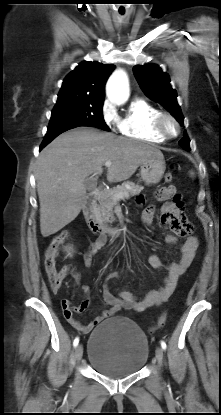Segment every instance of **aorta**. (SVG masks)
Listing matches in <instances>:
<instances>
[{"mask_svg": "<svg viewBox=\"0 0 221 415\" xmlns=\"http://www.w3.org/2000/svg\"><path fill=\"white\" fill-rule=\"evenodd\" d=\"M108 99L117 104H124L129 98V82L126 73L118 69L109 78L106 85Z\"/></svg>", "mask_w": 221, "mask_h": 415, "instance_id": "1", "label": "aorta"}]
</instances>
